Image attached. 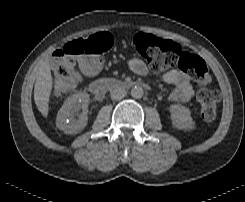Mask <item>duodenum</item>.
Returning <instances> with one entry per match:
<instances>
[{
	"label": "duodenum",
	"mask_w": 245,
	"mask_h": 202,
	"mask_svg": "<svg viewBox=\"0 0 245 202\" xmlns=\"http://www.w3.org/2000/svg\"><path fill=\"white\" fill-rule=\"evenodd\" d=\"M135 87H144L147 85L145 83H138L134 80L130 81H118L111 78H102L96 80L90 84V91L94 95H101L106 91L111 90H127Z\"/></svg>",
	"instance_id": "duodenum-1"
}]
</instances>
